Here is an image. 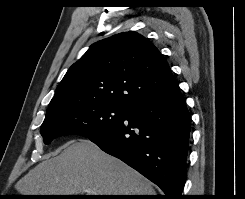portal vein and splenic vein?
<instances>
[{
    "instance_id": "portal-vein-and-splenic-vein-1",
    "label": "portal vein and splenic vein",
    "mask_w": 245,
    "mask_h": 199,
    "mask_svg": "<svg viewBox=\"0 0 245 199\" xmlns=\"http://www.w3.org/2000/svg\"><path fill=\"white\" fill-rule=\"evenodd\" d=\"M85 192H87V193L89 194L91 191H89V190H85Z\"/></svg>"
}]
</instances>
